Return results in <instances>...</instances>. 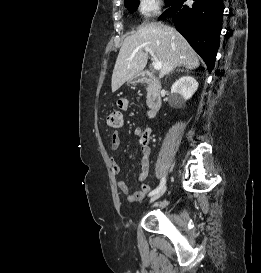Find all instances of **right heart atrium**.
Instances as JSON below:
<instances>
[{"mask_svg":"<svg viewBox=\"0 0 261 273\" xmlns=\"http://www.w3.org/2000/svg\"><path fill=\"white\" fill-rule=\"evenodd\" d=\"M161 0H139L138 10L144 17H150L160 9Z\"/></svg>","mask_w":261,"mask_h":273,"instance_id":"1","label":"right heart atrium"}]
</instances>
